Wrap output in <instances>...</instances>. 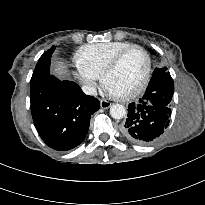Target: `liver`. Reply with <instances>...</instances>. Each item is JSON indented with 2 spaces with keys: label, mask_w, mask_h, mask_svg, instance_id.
Segmentation results:
<instances>
[{
  "label": "liver",
  "mask_w": 205,
  "mask_h": 205,
  "mask_svg": "<svg viewBox=\"0 0 205 205\" xmlns=\"http://www.w3.org/2000/svg\"><path fill=\"white\" fill-rule=\"evenodd\" d=\"M53 73L60 78H64L67 74L66 65L62 61H57L53 64Z\"/></svg>",
  "instance_id": "liver-1"
}]
</instances>
